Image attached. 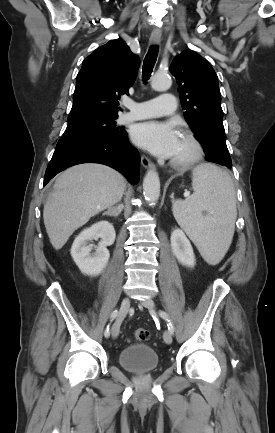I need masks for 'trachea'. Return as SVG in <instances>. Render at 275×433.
<instances>
[{"instance_id":"trachea-1","label":"trachea","mask_w":275,"mask_h":433,"mask_svg":"<svg viewBox=\"0 0 275 433\" xmlns=\"http://www.w3.org/2000/svg\"><path fill=\"white\" fill-rule=\"evenodd\" d=\"M157 56H158V47L157 46L150 47L143 62L142 73H143L144 82H146L149 79L153 67L156 63Z\"/></svg>"}]
</instances>
